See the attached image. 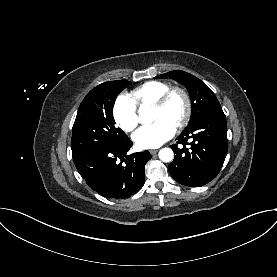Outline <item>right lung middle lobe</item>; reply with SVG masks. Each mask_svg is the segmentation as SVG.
Returning <instances> with one entry per match:
<instances>
[{
	"label": "right lung middle lobe",
	"instance_id": "right-lung-middle-lobe-1",
	"mask_svg": "<svg viewBox=\"0 0 277 277\" xmlns=\"http://www.w3.org/2000/svg\"><path fill=\"white\" fill-rule=\"evenodd\" d=\"M131 82L109 81L92 89L79 106L72 129V156L103 144H123L127 135L115 127L113 106L117 95Z\"/></svg>",
	"mask_w": 277,
	"mask_h": 277
}]
</instances>
